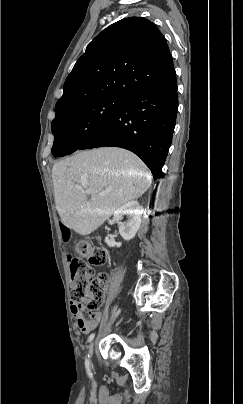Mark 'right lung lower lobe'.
I'll return each mask as SVG.
<instances>
[{
  "mask_svg": "<svg viewBox=\"0 0 243 404\" xmlns=\"http://www.w3.org/2000/svg\"><path fill=\"white\" fill-rule=\"evenodd\" d=\"M177 112V80L173 69L160 81L125 98L109 122L79 150L102 146L128 149L144 161L155 179L161 178Z\"/></svg>",
  "mask_w": 243,
  "mask_h": 404,
  "instance_id": "98d812e1",
  "label": "right lung lower lobe"
}]
</instances>
